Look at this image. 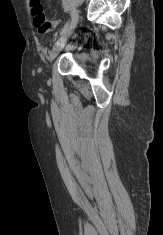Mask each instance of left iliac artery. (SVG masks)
Instances as JSON below:
<instances>
[{
    "instance_id": "44dca946",
    "label": "left iliac artery",
    "mask_w": 163,
    "mask_h": 235,
    "mask_svg": "<svg viewBox=\"0 0 163 235\" xmlns=\"http://www.w3.org/2000/svg\"><path fill=\"white\" fill-rule=\"evenodd\" d=\"M77 20H78V12L74 9L71 14V20L67 22L64 25V27L61 29V32H60L61 38H63L66 35L69 29L75 26V24L77 23Z\"/></svg>"
}]
</instances>
